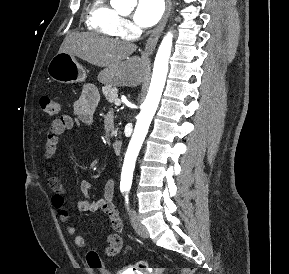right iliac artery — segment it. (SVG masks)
Returning a JSON list of instances; mask_svg holds the SVG:
<instances>
[{"label":"right iliac artery","mask_w":289,"mask_h":274,"mask_svg":"<svg viewBox=\"0 0 289 274\" xmlns=\"http://www.w3.org/2000/svg\"><path fill=\"white\" fill-rule=\"evenodd\" d=\"M125 191V189L124 188H121V192H124Z\"/></svg>","instance_id":"obj_1"}]
</instances>
